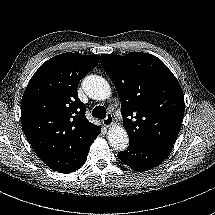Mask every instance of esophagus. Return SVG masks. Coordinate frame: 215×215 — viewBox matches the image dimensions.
<instances>
[{
    "instance_id": "34e87169",
    "label": "esophagus",
    "mask_w": 215,
    "mask_h": 215,
    "mask_svg": "<svg viewBox=\"0 0 215 215\" xmlns=\"http://www.w3.org/2000/svg\"><path fill=\"white\" fill-rule=\"evenodd\" d=\"M102 124L106 128L113 127L115 125V121H114L113 115L111 113H108V115L106 116V118L102 121Z\"/></svg>"
}]
</instances>
